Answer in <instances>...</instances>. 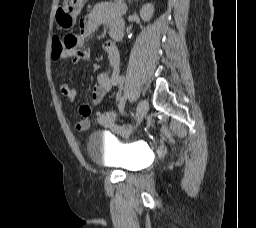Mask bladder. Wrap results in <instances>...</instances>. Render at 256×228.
Instances as JSON below:
<instances>
[{
    "label": "bladder",
    "instance_id": "31cf9c89",
    "mask_svg": "<svg viewBox=\"0 0 256 228\" xmlns=\"http://www.w3.org/2000/svg\"><path fill=\"white\" fill-rule=\"evenodd\" d=\"M87 151L93 160L125 171L142 169L148 158L144 147L109 139L97 131L88 136Z\"/></svg>",
    "mask_w": 256,
    "mask_h": 228
}]
</instances>
